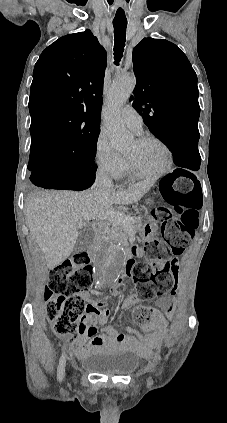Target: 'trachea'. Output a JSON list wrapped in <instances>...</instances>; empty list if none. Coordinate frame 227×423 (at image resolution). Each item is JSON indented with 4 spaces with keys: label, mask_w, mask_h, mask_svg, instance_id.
I'll list each match as a JSON object with an SVG mask.
<instances>
[{
    "label": "trachea",
    "mask_w": 227,
    "mask_h": 423,
    "mask_svg": "<svg viewBox=\"0 0 227 423\" xmlns=\"http://www.w3.org/2000/svg\"><path fill=\"white\" fill-rule=\"evenodd\" d=\"M114 59L115 65H119L123 57L125 42H126V28L127 19L114 18Z\"/></svg>",
    "instance_id": "1"
}]
</instances>
